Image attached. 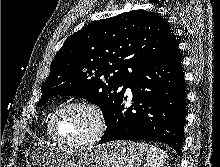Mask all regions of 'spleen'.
<instances>
[{"instance_id":"obj_1","label":"spleen","mask_w":220,"mask_h":167,"mask_svg":"<svg viewBox=\"0 0 220 167\" xmlns=\"http://www.w3.org/2000/svg\"><path fill=\"white\" fill-rule=\"evenodd\" d=\"M138 146L147 153L145 167L163 166V162L167 158V153L164 150L144 142H139Z\"/></svg>"}]
</instances>
